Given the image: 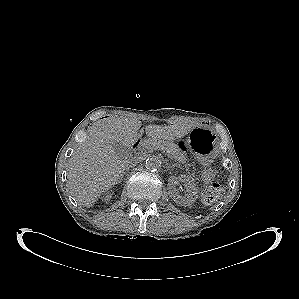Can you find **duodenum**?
Returning <instances> with one entry per match:
<instances>
[{
	"label": "duodenum",
	"mask_w": 299,
	"mask_h": 299,
	"mask_svg": "<svg viewBox=\"0 0 299 299\" xmlns=\"http://www.w3.org/2000/svg\"><path fill=\"white\" fill-rule=\"evenodd\" d=\"M140 142H141V139H137V140L133 143V145H132L133 150H136V149L138 148Z\"/></svg>",
	"instance_id": "obj_1"
}]
</instances>
